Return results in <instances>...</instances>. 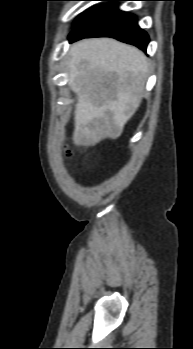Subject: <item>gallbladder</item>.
<instances>
[{
    "label": "gallbladder",
    "instance_id": "gallbladder-1",
    "mask_svg": "<svg viewBox=\"0 0 193 349\" xmlns=\"http://www.w3.org/2000/svg\"><path fill=\"white\" fill-rule=\"evenodd\" d=\"M110 76L113 77L114 74H112V75H110ZM107 115H108L109 117H111V114H110V113H107Z\"/></svg>",
    "mask_w": 193,
    "mask_h": 349
}]
</instances>
